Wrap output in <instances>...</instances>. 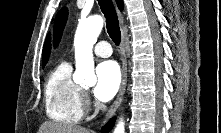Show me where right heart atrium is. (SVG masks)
I'll return each instance as SVG.
<instances>
[{"label":"right heart atrium","mask_w":221,"mask_h":133,"mask_svg":"<svg viewBox=\"0 0 221 133\" xmlns=\"http://www.w3.org/2000/svg\"><path fill=\"white\" fill-rule=\"evenodd\" d=\"M85 100H88V95L86 93L83 94Z\"/></svg>","instance_id":"1"}]
</instances>
